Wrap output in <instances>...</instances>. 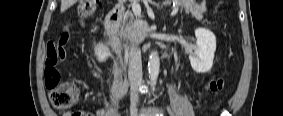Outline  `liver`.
<instances>
[{
  "mask_svg": "<svg viewBox=\"0 0 283 116\" xmlns=\"http://www.w3.org/2000/svg\"><path fill=\"white\" fill-rule=\"evenodd\" d=\"M77 0H61V12H65L68 8L74 5Z\"/></svg>",
  "mask_w": 283,
  "mask_h": 116,
  "instance_id": "6515ba94",
  "label": "liver"
}]
</instances>
